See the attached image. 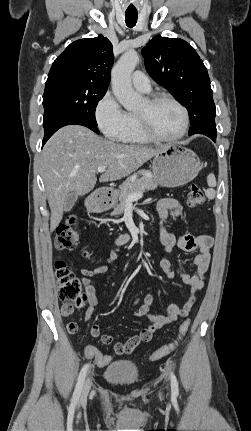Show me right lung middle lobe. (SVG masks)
Listing matches in <instances>:
<instances>
[{"mask_svg": "<svg viewBox=\"0 0 251 431\" xmlns=\"http://www.w3.org/2000/svg\"><path fill=\"white\" fill-rule=\"evenodd\" d=\"M107 88L71 75L48 76L43 94V126L63 116H76L97 125L95 109Z\"/></svg>", "mask_w": 251, "mask_h": 431, "instance_id": "right-lung-middle-lobe-1", "label": "right lung middle lobe"}]
</instances>
